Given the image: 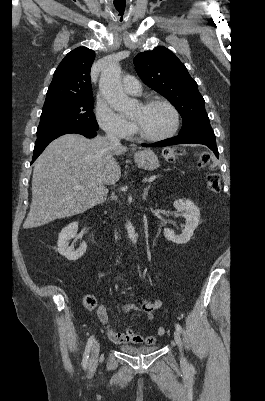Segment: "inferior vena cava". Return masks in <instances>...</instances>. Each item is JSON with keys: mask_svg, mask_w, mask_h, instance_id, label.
<instances>
[{"mask_svg": "<svg viewBox=\"0 0 265 401\" xmlns=\"http://www.w3.org/2000/svg\"><path fill=\"white\" fill-rule=\"evenodd\" d=\"M106 138H109L113 144H120L119 138H117L116 134L114 132H107Z\"/></svg>", "mask_w": 265, "mask_h": 401, "instance_id": "obj_1", "label": "inferior vena cava"}]
</instances>
